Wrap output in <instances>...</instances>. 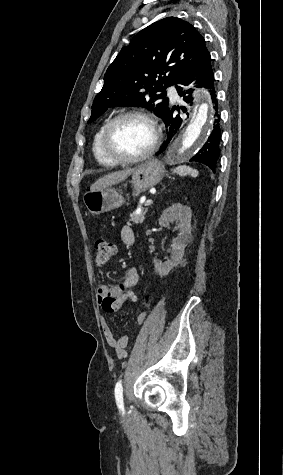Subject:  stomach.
I'll list each match as a JSON object with an SVG mask.
<instances>
[{"instance_id": "1", "label": "stomach", "mask_w": 283, "mask_h": 475, "mask_svg": "<svg viewBox=\"0 0 283 475\" xmlns=\"http://www.w3.org/2000/svg\"><path fill=\"white\" fill-rule=\"evenodd\" d=\"M163 176L164 170L158 160H148V162L140 164L134 168V172L131 174L134 192L136 194L146 192L161 182ZM83 202L91 214H103V212L120 208L124 204V198L114 188H103L99 192L84 194Z\"/></svg>"}]
</instances>
